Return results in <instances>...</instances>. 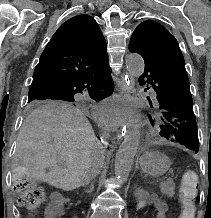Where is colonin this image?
Wrapping results in <instances>:
<instances>
[{
  "label": "colon",
  "mask_w": 211,
  "mask_h": 218,
  "mask_svg": "<svg viewBox=\"0 0 211 218\" xmlns=\"http://www.w3.org/2000/svg\"><path fill=\"white\" fill-rule=\"evenodd\" d=\"M14 188L18 193V203L29 211H35L44 200L42 187L31 177L28 170L20 166L14 171ZM198 192L197 174L188 170L183 174L180 187L182 211L179 218H194L195 199Z\"/></svg>",
  "instance_id": "1"
}]
</instances>
